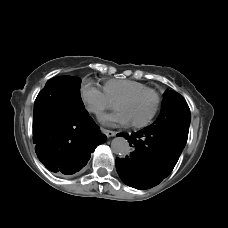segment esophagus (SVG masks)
I'll return each mask as SVG.
<instances>
[{
	"instance_id": "obj_1",
	"label": "esophagus",
	"mask_w": 228,
	"mask_h": 228,
	"mask_svg": "<svg viewBox=\"0 0 228 228\" xmlns=\"http://www.w3.org/2000/svg\"><path fill=\"white\" fill-rule=\"evenodd\" d=\"M103 132L108 136V137H113L116 135L115 131H111V130H107V129H103Z\"/></svg>"
}]
</instances>
